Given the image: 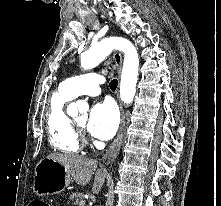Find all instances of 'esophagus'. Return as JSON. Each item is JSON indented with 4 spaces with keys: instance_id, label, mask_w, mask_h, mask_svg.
Returning a JSON list of instances; mask_svg holds the SVG:
<instances>
[{
    "instance_id": "34e87169",
    "label": "esophagus",
    "mask_w": 221,
    "mask_h": 206,
    "mask_svg": "<svg viewBox=\"0 0 221 206\" xmlns=\"http://www.w3.org/2000/svg\"><path fill=\"white\" fill-rule=\"evenodd\" d=\"M114 61L118 69V73L120 75L121 66H122V55L119 52H115ZM119 106H120V113H121L120 128L108 152L103 157V161L106 165L110 164L116 158V156L118 155L120 151L122 140H123L124 129H125V113H124L123 105L120 100H119Z\"/></svg>"
}]
</instances>
